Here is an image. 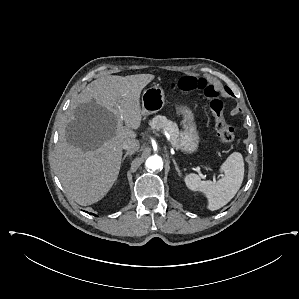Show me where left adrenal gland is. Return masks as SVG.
Instances as JSON below:
<instances>
[{
  "mask_svg": "<svg viewBox=\"0 0 299 299\" xmlns=\"http://www.w3.org/2000/svg\"><path fill=\"white\" fill-rule=\"evenodd\" d=\"M172 161H173V164H174V166H175V169H176V171H177L178 175H179V176H181L180 169H179V167H178V165H177V163H176L175 159H172Z\"/></svg>",
  "mask_w": 299,
  "mask_h": 299,
  "instance_id": "left-adrenal-gland-1",
  "label": "left adrenal gland"
}]
</instances>
